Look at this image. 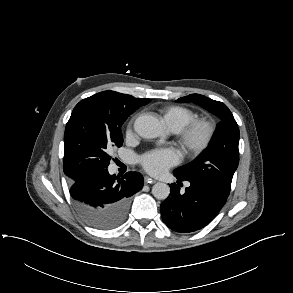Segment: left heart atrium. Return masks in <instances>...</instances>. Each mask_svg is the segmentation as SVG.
Wrapping results in <instances>:
<instances>
[{
	"label": "left heart atrium",
	"instance_id": "left-heart-atrium-1",
	"mask_svg": "<svg viewBox=\"0 0 293 293\" xmlns=\"http://www.w3.org/2000/svg\"><path fill=\"white\" fill-rule=\"evenodd\" d=\"M178 162V155L173 149H155L141 159L143 168L150 174L160 176Z\"/></svg>",
	"mask_w": 293,
	"mask_h": 293
}]
</instances>
